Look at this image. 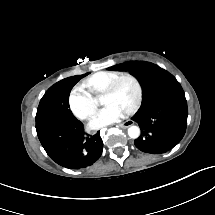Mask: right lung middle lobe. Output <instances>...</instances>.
I'll return each mask as SVG.
<instances>
[{
	"label": "right lung middle lobe",
	"mask_w": 215,
	"mask_h": 215,
	"mask_svg": "<svg viewBox=\"0 0 215 215\" xmlns=\"http://www.w3.org/2000/svg\"><path fill=\"white\" fill-rule=\"evenodd\" d=\"M86 75L63 79L46 91L37 109L36 127L51 123L78 122L69 109V94L73 86Z\"/></svg>",
	"instance_id": "obj_1"
}]
</instances>
